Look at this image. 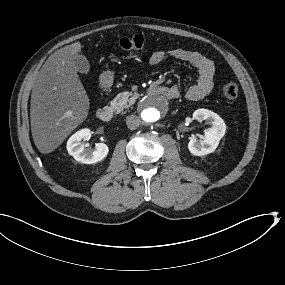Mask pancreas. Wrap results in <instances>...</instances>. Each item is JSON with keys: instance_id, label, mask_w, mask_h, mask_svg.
I'll use <instances>...</instances> for the list:
<instances>
[{"instance_id": "1", "label": "pancreas", "mask_w": 285, "mask_h": 285, "mask_svg": "<svg viewBox=\"0 0 285 285\" xmlns=\"http://www.w3.org/2000/svg\"><path fill=\"white\" fill-rule=\"evenodd\" d=\"M139 96L136 91L124 92L114 97L113 102L108 104L111 110L115 109V113L119 114L123 109L129 108L134 102L138 101Z\"/></svg>"}]
</instances>
